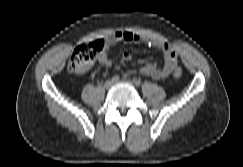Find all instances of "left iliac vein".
Wrapping results in <instances>:
<instances>
[{
  "label": "left iliac vein",
  "instance_id": "obj_1",
  "mask_svg": "<svg viewBox=\"0 0 243 167\" xmlns=\"http://www.w3.org/2000/svg\"><path fill=\"white\" fill-rule=\"evenodd\" d=\"M120 83H123V84H129V85H133V82L130 81V80H126V79H123L121 81H119Z\"/></svg>",
  "mask_w": 243,
  "mask_h": 167
}]
</instances>
